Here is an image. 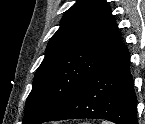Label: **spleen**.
I'll return each mask as SVG.
<instances>
[{
  "mask_svg": "<svg viewBox=\"0 0 145 124\" xmlns=\"http://www.w3.org/2000/svg\"><path fill=\"white\" fill-rule=\"evenodd\" d=\"M103 124H109V123H107V122H104Z\"/></svg>",
  "mask_w": 145,
  "mask_h": 124,
  "instance_id": "1",
  "label": "spleen"
}]
</instances>
